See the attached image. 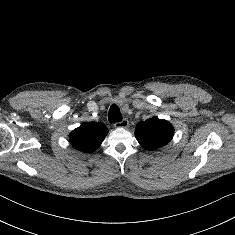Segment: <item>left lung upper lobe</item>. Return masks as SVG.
I'll list each match as a JSON object with an SVG mask.
<instances>
[{"label": "left lung upper lobe", "mask_w": 235, "mask_h": 235, "mask_svg": "<svg viewBox=\"0 0 235 235\" xmlns=\"http://www.w3.org/2000/svg\"><path fill=\"white\" fill-rule=\"evenodd\" d=\"M173 135V126L168 121L160 120L157 117L139 122L135 129L136 139L144 149L148 150L168 144Z\"/></svg>", "instance_id": "5c2ea615"}]
</instances>
